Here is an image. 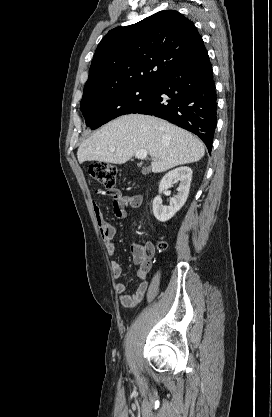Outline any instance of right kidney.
Returning <instances> with one entry per match:
<instances>
[{
    "label": "right kidney",
    "instance_id": "ca27d5eb",
    "mask_svg": "<svg viewBox=\"0 0 272 417\" xmlns=\"http://www.w3.org/2000/svg\"><path fill=\"white\" fill-rule=\"evenodd\" d=\"M179 179L180 184L177 188V195L170 199L169 206H163L160 195L153 200V214L160 222H166L171 219L185 204L192 179V169L189 167H179L168 172L160 181L159 193L170 188L173 182Z\"/></svg>",
    "mask_w": 272,
    "mask_h": 417
}]
</instances>
